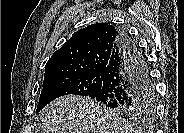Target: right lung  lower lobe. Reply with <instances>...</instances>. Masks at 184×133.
<instances>
[{"label":"right lung lower lobe","mask_w":184,"mask_h":133,"mask_svg":"<svg viewBox=\"0 0 184 133\" xmlns=\"http://www.w3.org/2000/svg\"><path fill=\"white\" fill-rule=\"evenodd\" d=\"M152 87L146 59L137 44L120 31L117 47L103 73L102 87L94 97L108 105H132L146 99Z\"/></svg>","instance_id":"right-lung-lower-lobe-1"}]
</instances>
